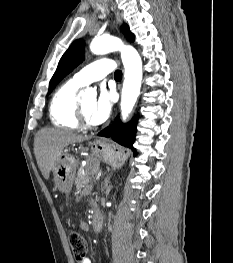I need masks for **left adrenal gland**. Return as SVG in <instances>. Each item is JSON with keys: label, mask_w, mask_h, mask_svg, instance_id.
I'll return each instance as SVG.
<instances>
[{"label": "left adrenal gland", "mask_w": 233, "mask_h": 263, "mask_svg": "<svg viewBox=\"0 0 233 263\" xmlns=\"http://www.w3.org/2000/svg\"><path fill=\"white\" fill-rule=\"evenodd\" d=\"M109 180L106 181V187L108 186Z\"/></svg>", "instance_id": "left-adrenal-gland-1"}]
</instances>
